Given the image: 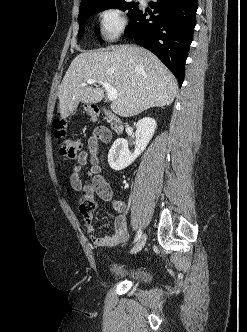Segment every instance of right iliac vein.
I'll list each match as a JSON object with an SVG mask.
<instances>
[{
  "label": "right iliac vein",
  "mask_w": 247,
  "mask_h": 332,
  "mask_svg": "<svg viewBox=\"0 0 247 332\" xmlns=\"http://www.w3.org/2000/svg\"><path fill=\"white\" fill-rule=\"evenodd\" d=\"M146 239H147L146 235L145 234L142 235L140 237V239L138 240V242L135 244V246L131 249L130 253L131 254L138 253L144 247V245L146 243Z\"/></svg>",
  "instance_id": "1"
}]
</instances>
